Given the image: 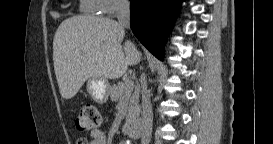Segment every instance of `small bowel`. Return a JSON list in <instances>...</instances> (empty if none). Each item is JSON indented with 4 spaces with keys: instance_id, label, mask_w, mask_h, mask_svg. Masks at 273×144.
Wrapping results in <instances>:
<instances>
[{
    "instance_id": "small-bowel-1",
    "label": "small bowel",
    "mask_w": 273,
    "mask_h": 144,
    "mask_svg": "<svg viewBox=\"0 0 273 144\" xmlns=\"http://www.w3.org/2000/svg\"><path fill=\"white\" fill-rule=\"evenodd\" d=\"M106 135L101 130L92 131L89 137H80L77 139L76 144H106Z\"/></svg>"
}]
</instances>
